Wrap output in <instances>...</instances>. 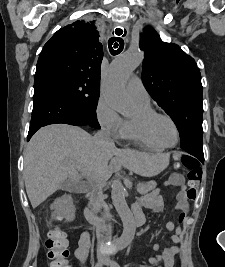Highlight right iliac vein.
<instances>
[{
	"mask_svg": "<svg viewBox=\"0 0 225 267\" xmlns=\"http://www.w3.org/2000/svg\"><path fill=\"white\" fill-rule=\"evenodd\" d=\"M102 253L100 252V253H98V255H97V264H100L101 262H102Z\"/></svg>",
	"mask_w": 225,
	"mask_h": 267,
	"instance_id": "63e3f726",
	"label": "right iliac vein"
}]
</instances>
